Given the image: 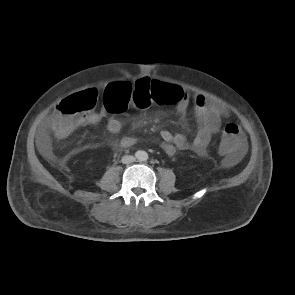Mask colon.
<instances>
[{"label":"colon","mask_w":295,"mask_h":295,"mask_svg":"<svg viewBox=\"0 0 295 295\" xmlns=\"http://www.w3.org/2000/svg\"><path fill=\"white\" fill-rule=\"evenodd\" d=\"M177 88L173 85L150 81L138 82L135 87L128 82L108 85L103 92V103L111 112H123L132 102L135 110H149L150 102H173L177 99ZM98 100L93 89L74 94L62 100L55 113L52 131L57 138L71 135L91 113ZM240 128L234 123L224 125L220 147L224 152L235 151L240 144Z\"/></svg>","instance_id":"1"}]
</instances>
